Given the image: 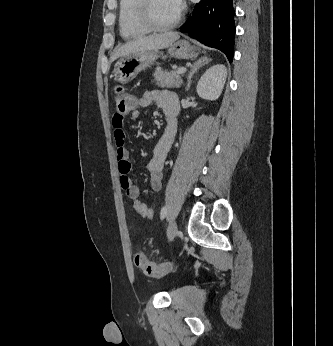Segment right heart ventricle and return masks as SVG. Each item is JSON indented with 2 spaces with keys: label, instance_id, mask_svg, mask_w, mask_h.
<instances>
[{
  "label": "right heart ventricle",
  "instance_id": "obj_1",
  "mask_svg": "<svg viewBox=\"0 0 333 346\" xmlns=\"http://www.w3.org/2000/svg\"><path fill=\"white\" fill-rule=\"evenodd\" d=\"M139 3V0H119L118 27L126 40L140 38L149 31L140 18Z\"/></svg>",
  "mask_w": 333,
  "mask_h": 346
}]
</instances>
